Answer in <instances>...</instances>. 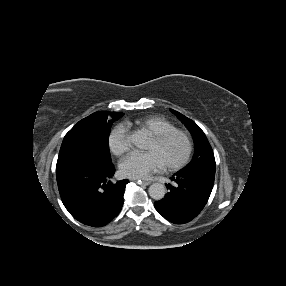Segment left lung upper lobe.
Wrapping results in <instances>:
<instances>
[{"instance_id": "1", "label": "left lung upper lobe", "mask_w": 286, "mask_h": 286, "mask_svg": "<svg viewBox=\"0 0 286 286\" xmlns=\"http://www.w3.org/2000/svg\"><path fill=\"white\" fill-rule=\"evenodd\" d=\"M171 111L185 124L191 132L195 142V153L192 161L183 169L184 171H191L195 169H214L215 158L211 145L209 144L204 132L200 127L191 119L185 117L181 113Z\"/></svg>"}]
</instances>
